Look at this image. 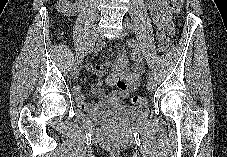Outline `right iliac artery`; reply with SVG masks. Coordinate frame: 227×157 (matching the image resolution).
<instances>
[{
    "label": "right iliac artery",
    "mask_w": 227,
    "mask_h": 157,
    "mask_svg": "<svg viewBox=\"0 0 227 157\" xmlns=\"http://www.w3.org/2000/svg\"><path fill=\"white\" fill-rule=\"evenodd\" d=\"M102 49V46L99 45V40L95 38L93 44L89 48H80V51H78V54H76L75 59L73 60V65H79V62L81 60V57L83 56V53H95L96 51H99Z\"/></svg>",
    "instance_id": "right-iliac-artery-1"
}]
</instances>
